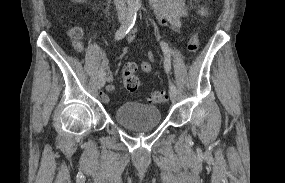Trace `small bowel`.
Here are the masks:
<instances>
[{"mask_svg":"<svg viewBox=\"0 0 285 183\" xmlns=\"http://www.w3.org/2000/svg\"><path fill=\"white\" fill-rule=\"evenodd\" d=\"M150 6L154 13L158 17L159 23L172 32L178 33L183 24V20L190 15L191 12L207 19L209 17V11L204 7H190L186 0H149ZM134 31L128 36V41L132 42L134 39ZM99 68L103 71L105 80L111 82L113 80L112 73L108 66V58L105 51L98 50ZM149 61L140 62V69L144 73H150L152 71L153 64L155 63V56L153 51L148 52ZM115 87L111 84L106 86V91L111 92ZM101 100L108 102L109 98L106 94L101 93Z\"/></svg>","mask_w":285,"mask_h":183,"instance_id":"c3829d8e","label":"small bowel"}]
</instances>
